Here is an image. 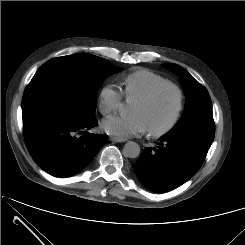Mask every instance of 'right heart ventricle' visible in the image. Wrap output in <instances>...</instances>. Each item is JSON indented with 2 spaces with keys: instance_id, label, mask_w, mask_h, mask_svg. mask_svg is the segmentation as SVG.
Returning a JSON list of instances; mask_svg holds the SVG:
<instances>
[{
  "instance_id": "right-heart-ventricle-1",
  "label": "right heart ventricle",
  "mask_w": 245,
  "mask_h": 245,
  "mask_svg": "<svg viewBox=\"0 0 245 245\" xmlns=\"http://www.w3.org/2000/svg\"><path fill=\"white\" fill-rule=\"evenodd\" d=\"M172 83L166 77L147 69H138L126 74L122 79V92L126 100L134 99L148 93L154 87Z\"/></svg>"
}]
</instances>
